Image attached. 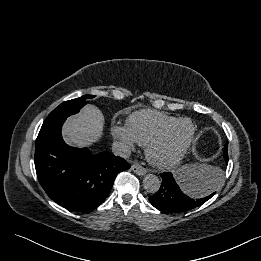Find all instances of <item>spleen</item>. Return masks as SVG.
<instances>
[{
	"label": "spleen",
	"mask_w": 261,
	"mask_h": 261,
	"mask_svg": "<svg viewBox=\"0 0 261 261\" xmlns=\"http://www.w3.org/2000/svg\"><path fill=\"white\" fill-rule=\"evenodd\" d=\"M187 172H188L189 176L194 177L201 181L204 180L206 177H211V176H215V175L217 176L214 186L212 188H210L209 190L204 188L199 193L200 196H204V195H207V194L213 192L219 184V173H216L214 171V169L212 167H210L209 165H206V164L190 165L187 169Z\"/></svg>",
	"instance_id": "1"
}]
</instances>
